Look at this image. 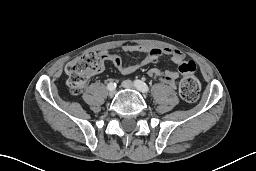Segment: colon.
I'll return each instance as SVG.
<instances>
[{"instance_id": "1", "label": "colon", "mask_w": 256, "mask_h": 171, "mask_svg": "<svg viewBox=\"0 0 256 171\" xmlns=\"http://www.w3.org/2000/svg\"><path fill=\"white\" fill-rule=\"evenodd\" d=\"M103 65L99 54L86 53L66 65L68 76L67 86L71 94L77 95L83 91L91 74L98 71ZM196 66L192 60H184L180 65L183 78L179 84V93L183 100L194 102L198 99L200 83L194 76Z\"/></svg>"}]
</instances>
